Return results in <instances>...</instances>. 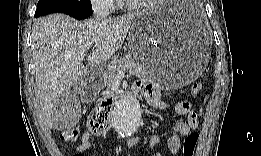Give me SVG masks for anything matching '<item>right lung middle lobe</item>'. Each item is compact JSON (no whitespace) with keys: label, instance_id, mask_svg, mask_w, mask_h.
Listing matches in <instances>:
<instances>
[{"label":"right lung middle lobe","instance_id":"dd1d6c3e","mask_svg":"<svg viewBox=\"0 0 261 156\" xmlns=\"http://www.w3.org/2000/svg\"><path fill=\"white\" fill-rule=\"evenodd\" d=\"M78 9L92 10L90 0H39L35 16L52 12L70 14Z\"/></svg>","mask_w":261,"mask_h":156}]
</instances>
